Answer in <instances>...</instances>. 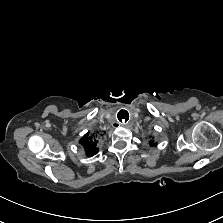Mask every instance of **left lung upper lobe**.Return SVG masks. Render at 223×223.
Listing matches in <instances>:
<instances>
[{
  "label": "left lung upper lobe",
  "instance_id": "obj_1",
  "mask_svg": "<svg viewBox=\"0 0 223 223\" xmlns=\"http://www.w3.org/2000/svg\"><path fill=\"white\" fill-rule=\"evenodd\" d=\"M149 144H150V146L156 145V143H154V141H150Z\"/></svg>",
  "mask_w": 223,
  "mask_h": 223
}]
</instances>
